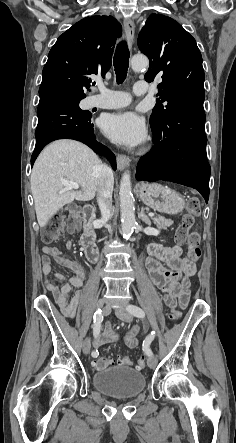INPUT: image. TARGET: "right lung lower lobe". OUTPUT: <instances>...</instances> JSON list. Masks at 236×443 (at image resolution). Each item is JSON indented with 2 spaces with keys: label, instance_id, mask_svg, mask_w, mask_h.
<instances>
[{
  "label": "right lung lower lobe",
  "instance_id": "98d812e1",
  "mask_svg": "<svg viewBox=\"0 0 236 443\" xmlns=\"http://www.w3.org/2000/svg\"><path fill=\"white\" fill-rule=\"evenodd\" d=\"M38 125L35 131L36 146L31 157L33 166L41 150L57 139H74L83 142L101 155H109L112 168L116 170L114 154L96 141L91 113L82 111L72 100L59 94L40 96L37 109Z\"/></svg>",
  "mask_w": 236,
  "mask_h": 443
}]
</instances>
